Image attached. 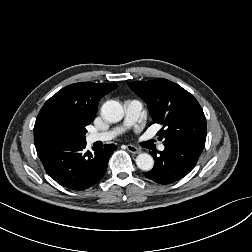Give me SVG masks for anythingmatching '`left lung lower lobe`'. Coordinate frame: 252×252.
<instances>
[{"instance_id": "left-lung-lower-lobe-1", "label": "left lung lower lobe", "mask_w": 252, "mask_h": 252, "mask_svg": "<svg viewBox=\"0 0 252 252\" xmlns=\"http://www.w3.org/2000/svg\"><path fill=\"white\" fill-rule=\"evenodd\" d=\"M203 148L193 144H175L165 146L159 152L152 153L155 165L144 175L159 184H170L186 176L196 165Z\"/></svg>"}]
</instances>
